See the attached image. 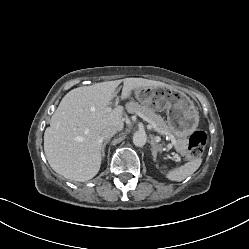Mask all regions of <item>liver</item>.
Returning <instances> with one entry per match:
<instances>
[{"label":"liver","instance_id":"1","mask_svg":"<svg viewBox=\"0 0 249 249\" xmlns=\"http://www.w3.org/2000/svg\"><path fill=\"white\" fill-rule=\"evenodd\" d=\"M123 83L121 99L140 87H167L143 78L101 82L69 91L61 100L44 133V151L51 168L66 179L84 182L101 166V130L108 125L121 131L123 109L111 110L116 88Z\"/></svg>","mask_w":249,"mask_h":249}]
</instances>
